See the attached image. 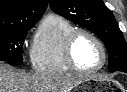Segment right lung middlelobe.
<instances>
[{
  "label": "right lung middle lobe",
  "mask_w": 127,
  "mask_h": 92,
  "mask_svg": "<svg viewBox=\"0 0 127 92\" xmlns=\"http://www.w3.org/2000/svg\"><path fill=\"white\" fill-rule=\"evenodd\" d=\"M34 25L0 29V61L23 62L22 47Z\"/></svg>",
  "instance_id": "1"
}]
</instances>
